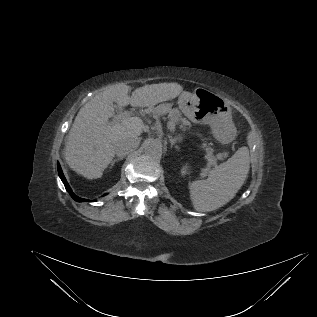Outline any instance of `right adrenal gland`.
Instances as JSON below:
<instances>
[{
  "label": "right adrenal gland",
  "instance_id": "right-adrenal-gland-1",
  "mask_svg": "<svg viewBox=\"0 0 317 317\" xmlns=\"http://www.w3.org/2000/svg\"><path fill=\"white\" fill-rule=\"evenodd\" d=\"M122 159H123V157H118V158L113 159L112 162H111V164H110V167L114 166V164H115L116 162H118V161H120V160H122Z\"/></svg>",
  "mask_w": 317,
  "mask_h": 317
}]
</instances>
